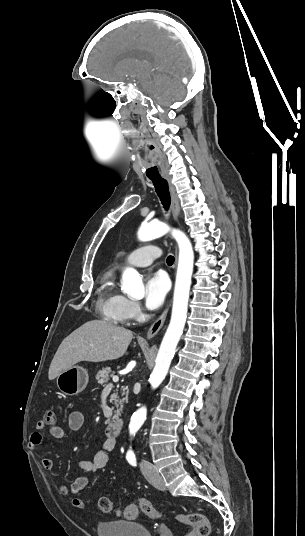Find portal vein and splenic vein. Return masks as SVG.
Wrapping results in <instances>:
<instances>
[{"label":"portal vein and splenic vein","instance_id":"obj_1","mask_svg":"<svg viewBox=\"0 0 305 536\" xmlns=\"http://www.w3.org/2000/svg\"><path fill=\"white\" fill-rule=\"evenodd\" d=\"M119 374H121V372H119ZM113 382H119V378L118 376H113L112 378ZM113 384H108V386H106V388H112Z\"/></svg>","mask_w":305,"mask_h":536}]
</instances>
